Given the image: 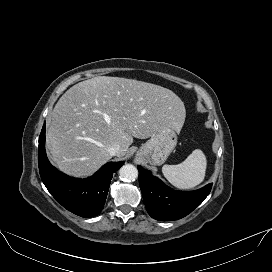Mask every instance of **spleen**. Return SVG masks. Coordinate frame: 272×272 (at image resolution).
<instances>
[{
	"label": "spleen",
	"instance_id": "3e777b00",
	"mask_svg": "<svg viewBox=\"0 0 272 272\" xmlns=\"http://www.w3.org/2000/svg\"><path fill=\"white\" fill-rule=\"evenodd\" d=\"M207 167L206 156L200 149L194 150L182 163L164 165V177L178 189H191L205 178Z\"/></svg>",
	"mask_w": 272,
	"mask_h": 272
}]
</instances>
